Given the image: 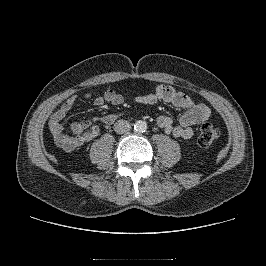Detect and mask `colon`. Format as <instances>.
<instances>
[{"instance_id": "obj_1", "label": "colon", "mask_w": 266, "mask_h": 266, "mask_svg": "<svg viewBox=\"0 0 266 266\" xmlns=\"http://www.w3.org/2000/svg\"><path fill=\"white\" fill-rule=\"evenodd\" d=\"M219 134L218 128L212 123L202 124L197 138L198 145L200 147L212 145L218 139Z\"/></svg>"}]
</instances>
